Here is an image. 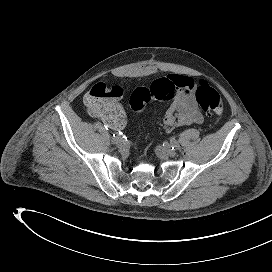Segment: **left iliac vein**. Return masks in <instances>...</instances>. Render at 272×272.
<instances>
[{
	"mask_svg": "<svg viewBox=\"0 0 272 272\" xmlns=\"http://www.w3.org/2000/svg\"><path fill=\"white\" fill-rule=\"evenodd\" d=\"M159 150L162 154L170 156V157H174L176 155V152L172 150L171 146L167 143L163 144V146H161Z\"/></svg>",
	"mask_w": 272,
	"mask_h": 272,
	"instance_id": "left-iliac-vein-1",
	"label": "left iliac vein"
}]
</instances>
